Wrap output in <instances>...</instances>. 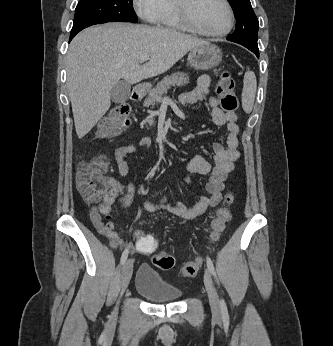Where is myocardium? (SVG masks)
<instances>
[{
  "instance_id": "f54148a6",
  "label": "myocardium",
  "mask_w": 333,
  "mask_h": 346,
  "mask_svg": "<svg viewBox=\"0 0 333 346\" xmlns=\"http://www.w3.org/2000/svg\"><path fill=\"white\" fill-rule=\"evenodd\" d=\"M221 1L225 5L228 13V23L227 26L219 32H207L198 25L192 14L194 0H174V3L178 17L186 28L205 37L218 38L226 36L228 33H230L235 21L234 11L229 0Z\"/></svg>"
}]
</instances>
